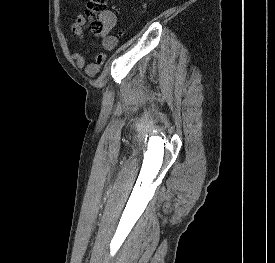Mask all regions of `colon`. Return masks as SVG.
<instances>
[{
  "label": "colon",
  "mask_w": 275,
  "mask_h": 263,
  "mask_svg": "<svg viewBox=\"0 0 275 263\" xmlns=\"http://www.w3.org/2000/svg\"><path fill=\"white\" fill-rule=\"evenodd\" d=\"M107 0H88L86 13L91 17L90 29L98 35L106 36L110 31L107 19L99 16L106 9Z\"/></svg>",
  "instance_id": "5ec220e1"
}]
</instances>
